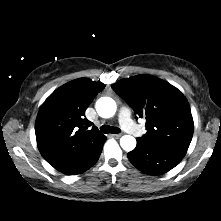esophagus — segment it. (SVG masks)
<instances>
[{
	"mask_svg": "<svg viewBox=\"0 0 221 221\" xmlns=\"http://www.w3.org/2000/svg\"><path fill=\"white\" fill-rule=\"evenodd\" d=\"M121 136H122V133L112 134V137L114 138H120Z\"/></svg>",
	"mask_w": 221,
	"mask_h": 221,
	"instance_id": "esophagus-1",
	"label": "esophagus"
}]
</instances>
